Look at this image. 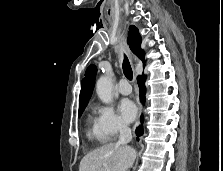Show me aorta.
<instances>
[{"instance_id": "1", "label": "aorta", "mask_w": 223, "mask_h": 171, "mask_svg": "<svg viewBox=\"0 0 223 171\" xmlns=\"http://www.w3.org/2000/svg\"><path fill=\"white\" fill-rule=\"evenodd\" d=\"M96 92L99 99L106 104L112 102V83L106 76H101L96 83Z\"/></svg>"}]
</instances>
